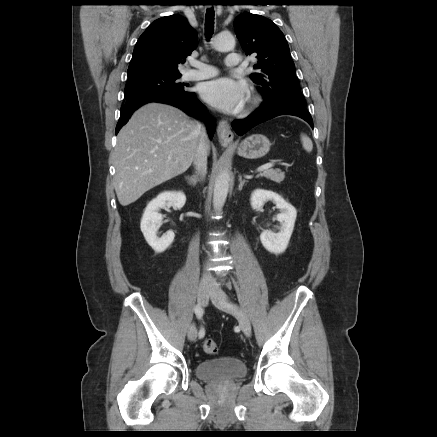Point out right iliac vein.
Listing matches in <instances>:
<instances>
[{"label":"right iliac vein","mask_w":437,"mask_h":437,"mask_svg":"<svg viewBox=\"0 0 437 437\" xmlns=\"http://www.w3.org/2000/svg\"><path fill=\"white\" fill-rule=\"evenodd\" d=\"M211 294V290L208 286L202 285L198 289L197 301L200 306H206L208 304L209 296ZM197 328L194 324H192L188 329V339L190 341H195L197 338Z\"/></svg>","instance_id":"obj_1"}]
</instances>
